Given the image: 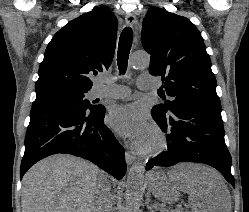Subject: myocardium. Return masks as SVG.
Wrapping results in <instances>:
<instances>
[{"mask_svg":"<svg viewBox=\"0 0 249 212\" xmlns=\"http://www.w3.org/2000/svg\"><path fill=\"white\" fill-rule=\"evenodd\" d=\"M149 130L155 136V142L152 146L144 147L141 151L146 156H155L163 153L168 147V138L164 130L156 123L149 125Z\"/></svg>","mask_w":249,"mask_h":212,"instance_id":"f54148a6","label":"myocardium"}]
</instances>
